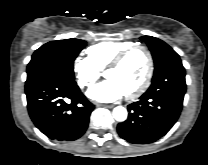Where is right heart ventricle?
Returning <instances> with one entry per match:
<instances>
[{"label": "right heart ventricle", "instance_id": "right-heart-ventricle-1", "mask_svg": "<svg viewBox=\"0 0 208 165\" xmlns=\"http://www.w3.org/2000/svg\"><path fill=\"white\" fill-rule=\"evenodd\" d=\"M132 45L131 41L105 40L88 47L87 54L98 69H103L118 53Z\"/></svg>", "mask_w": 208, "mask_h": 165}]
</instances>
